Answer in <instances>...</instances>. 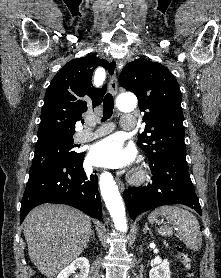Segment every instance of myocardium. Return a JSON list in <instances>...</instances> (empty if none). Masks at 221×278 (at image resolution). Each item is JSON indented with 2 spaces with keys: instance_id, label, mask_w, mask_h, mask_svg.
<instances>
[{
  "instance_id": "f54148a6",
  "label": "myocardium",
  "mask_w": 221,
  "mask_h": 278,
  "mask_svg": "<svg viewBox=\"0 0 221 278\" xmlns=\"http://www.w3.org/2000/svg\"><path fill=\"white\" fill-rule=\"evenodd\" d=\"M148 178V171L142 167L137 168L130 179L134 184H141Z\"/></svg>"
}]
</instances>
